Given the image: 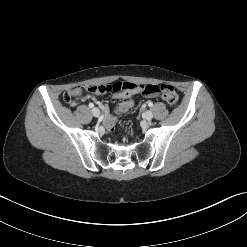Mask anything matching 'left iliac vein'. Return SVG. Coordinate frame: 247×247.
Here are the masks:
<instances>
[{
    "mask_svg": "<svg viewBox=\"0 0 247 247\" xmlns=\"http://www.w3.org/2000/svg\"><path fill=\"white\" fill-rule=\"evenodd\" d=\"M144 118L147 120V121H150L152 118H153V113L152 111L148 110L145 112L144 114Z\"/></svg>",
    "mask_w": 247,
    "mask_h": 247,
    "instance_id": "1",
    "label": "left iliac vein"
}]
</instances>
